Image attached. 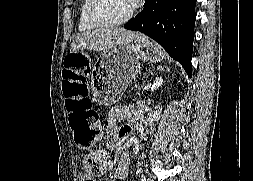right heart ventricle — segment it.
I'll use <instances>...</instances> for the list:
<instances>
[{
  "instance_id": "1",
  "label": "right heart ventricle",
  "mask_w": 253,
  "mask_h": 181,
  "mask_svg": "<svg viewBox=\"0 0 253 181\" xmlns=\"http://www.w3.org/2000/svg\"><path fill=\"white\" fill-rule=\"evenodd\" d=\"M90 0H82L79 14L78 29L81 32H89L99 28V26L93 24L88 17V7Z\"/></svg>"
}]
</instances>
